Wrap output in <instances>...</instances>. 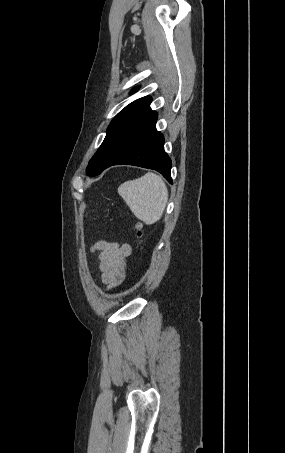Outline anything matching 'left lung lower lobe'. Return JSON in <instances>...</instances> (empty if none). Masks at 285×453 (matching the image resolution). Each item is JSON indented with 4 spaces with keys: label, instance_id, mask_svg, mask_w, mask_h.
<instances>
[{
    "label": "left lung lower lobe",
    "instance_id": "left-lung-lower-lobe-1",
    "mask_svg": "<svg viewBox=\"0 0 285 453\" xmlns=\"http://www.w3.org/2000/svg\"><path fill=\"white\" fill-rule=\"evenodd\" d=\"M156 121L157 113L148 107L121 135L100 173L112 165L129 164L154 169L172 183L171 159L164 151V137L156 130Z\"/></svg>",
    "mask_w": 285,
    "mask_h": 453
}]
</instances>
